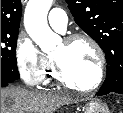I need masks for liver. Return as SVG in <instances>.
I'll list each match as a JSON object with an SVG mask.
<instances>
[{"instance_id": "obj_1", "label": "liver", "mask_w": 123, "mask_h": 113, "mask_svg": "<svg viewBox=\"0 0 123 113\" xmlns=\"http://www.w3.org/2000/svg\"><path fill=\"white\" fill-rule=\"evenodd\" d=\"M76 99L59 93H41L19 87L1 88V113H53Z\"/></svg>"}]
</instances>
